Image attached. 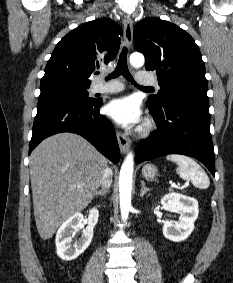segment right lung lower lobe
<instances>
[{"label": "right lung lower lobe", "instance_id": "98d812e1", "mask_svg": "<svg viewBox=\"0 0 233 283\" xmlns=\"http://www.w3.org/2000/svg\"><path fill=\"white\" fill-rule=\"evenodd\" d=\"M102 100L87 101L66 95L41 96L33 124L29 154L45 138L60 132H72L86 138L114 163L120 151L112 123L99 114Z\"/></svg>", "mask_w": 233, "mask_h": 283}]
</instances>
